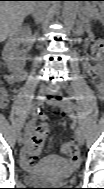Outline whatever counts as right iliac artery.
<instances>
[{
    "mask_svg": "<svg viewBox=\"0 0 104 189\" xmlns=\"http://www.w3.org/2000/svg\"><path fill=\"white\" fill-rule=\"evenodd\" d=\"M40 112L39 107H35L30 111V117L34 118L38 113ZM21 130H25L24 125H20V130H18V133H21Z\"/></svg>",
    "mask_w": 104,
    "mask_h": 189,
    "instance_id": "1",
    "label": "right iliac artery"
}]
</instances>
